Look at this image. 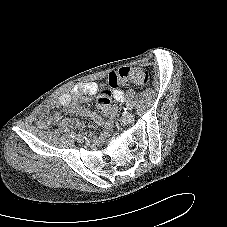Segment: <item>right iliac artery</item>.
<instances>
[{"label":"right iliac artery","instance_id":"right-iliac-artery-1","mask_svg":"<svg viewBox=\"0 0 227 227\" xmlns=\"http://www.w3.org/2000/svg\"><path fill=\"white\" fill-rule=\"evenodd\" d=\"M71 138H75L76 137V134H74V133H71Z\"/></svg>","mask_w":227,"mask_h":227}]
</instances>
